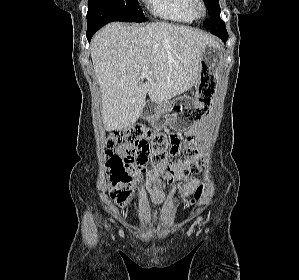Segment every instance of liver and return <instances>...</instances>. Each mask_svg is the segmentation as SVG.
<instances>
[{
    "label": "liver",
    "instance_id": "1",
    "mask_svg": "<svg viewBox=\"0 0 299 280\" xmlns=\"http://www.w3.org/2000/svg\"><path fill=\"white\" fill-rule=\"evenodd\" d=\"M206 45L218 46L200 31L165 22L143 27L106 25L90 47L105 129L122 130L135 124L147 93L153 103H162L189 90L198 82Z\"/></svg>",
    "mask_w": 299,
    "mask_h": 280
}]
</instances>
